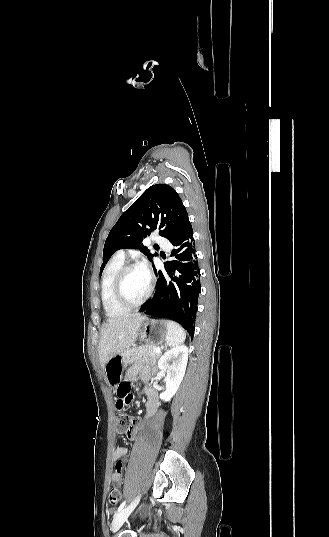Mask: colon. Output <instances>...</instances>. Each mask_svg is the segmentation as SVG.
I'll list each match as a JSON object with an SVG mask.
<instances>
[{"instance_id": "colon-1", "label": "colon", "mask_w": 329, "mask_h": 537, "mask_svg": "<svg viewBox=\"0 0 329 537\" xmlns=\"http://www.w3.org/2000/svg\"><path fill=\"white\" fill-rule=\"evenodd\" d=\"M133 422L134 420L132 416L126 413H120L116 419V432L125 433L129 431ZM108 500L111 505L116 506L121 500V492L117 488H112L109 492Z\"/></svg>"}]
</instances>
